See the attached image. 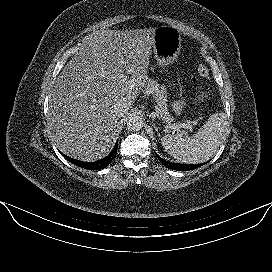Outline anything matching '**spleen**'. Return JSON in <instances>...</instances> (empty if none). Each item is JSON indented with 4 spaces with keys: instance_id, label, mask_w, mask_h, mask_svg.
I'll return each instance as SVG.
<instances>
[{
    "instance_id": "1",
    "label": "spleen",
    "mask_w": 272,
    "mask_h": 272,
    "mask_svg": "<svg viewBox=\"0 0 272 272\" xmlns=\"http://www.w3.org/2000/svg\"><path fill=\"white\" fill-rule=\"evenodd\" d=\"M225 130V116L222 112H217L193 136L184 138L180 134H167L161 143L168 154L182 163H202L218 151Z\"/></svg>"
}]
</instances>
